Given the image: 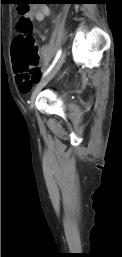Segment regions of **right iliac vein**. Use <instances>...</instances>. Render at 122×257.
Masks as SVG:
<instances>
[{
	"label": "right iliac vein",
	"instance_id": "1",
	"mask_svg": "<svg viewBox=\"0 0 122 257\" xmlns=\"http://www.w3.org/2000/svg\"><path fill=\"white\" fill-rule=\"evenodd\" d=\"M64 61H65V53H63L60 56L54 69L35 87V89L32 93V96H31V106H30L31 108L34 107V100H35L37 94L42 90L43 87H45L53 79V77L57 74V72L61 68Z\"/></svg>",
	"mask_w": 122,
	"mask_h": 257
}]
</instances>
